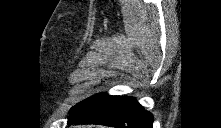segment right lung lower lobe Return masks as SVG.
Segmentation results:
<instances>
[{"mask_svg":"<svg viewBox=\"0 0 221 128\" xmlns=\"http://www.w3.org/2000/svg\"><path fill=\"white\" fill-rule=\"evenodd\" d=\"M100 124L116 128H152L153 115L134 98L107 95L81 108L68 118V124Z\"/></svg>","mask_w":221,"mask_h":128,"instance_id":"obj_1","label":"right lung lower lobe"}]
</instances>
